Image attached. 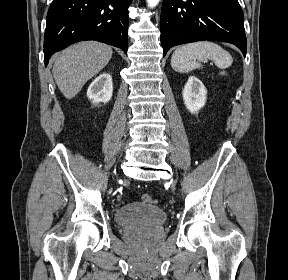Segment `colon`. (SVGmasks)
<instances>
[{"label": "colon", "instance_id": "obj_1", "mask_svg": "<svg viewBox=\"0 0 288 280\" xmlns=\"http://www.w3.org/2000/svg\"><path fill=\"white\" fill-rule=\"evenodd\" d=\"M142 200L145 202V203H156L157 200L154 199L150 194H144L142 196Z\"/></svg>", "mask_w": 288, "mask_h": 280}]
</instances>
